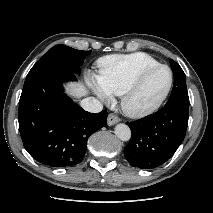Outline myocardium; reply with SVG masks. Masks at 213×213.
<instances>
[{
	"instance_id": "1",
	"label": "myocardium",
	"mask_w": 213,
	"mask_h": 213,
	"mask_svg": "<svg viewBox=\"0 0 213 213\" xmlns=\"http://www.w3.org/2000/svg\"><path fill=\"white\" fill-rule=\"evenodd\" d=\"M159 69H166L169 72V83L165 91L152 103L142 106L134 107L131 104V100L137 91L140 89L144 81L155 71ZM174 82V75L172 69L168 65L158 64L156 66L150 67L140 73L135 80L126 88V90L121 95V107L123 111L130 117L141 118L147 116L154 111H156L168 97Z\"/></svg>"
}]
</instances>
